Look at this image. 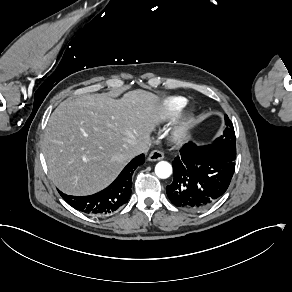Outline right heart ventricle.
<instances>
[{
	"mask_svg": "<svg viewBox=\"0 0 292 292\" xmlns=\"http://www.w3.org/2000/svg\"><path fill=\"white\" fill-rule=\"evenodd\" d=\"M187 105V99L181 96H170L164 100V107L168 116L175 115Z\"/></svg>",
	"mask_w": 292,
	"mask_h": 292,
	"instance_id": "obj_1",
	"label": "right heart ventricle"
}]
</instances>
